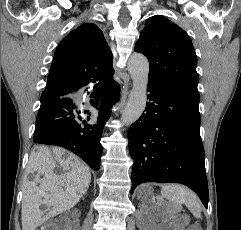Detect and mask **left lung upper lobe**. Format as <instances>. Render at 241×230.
<instances>
[{
    "label": "left lung upper lobe",
    "instance_id": "1",
    "mask_svg": "<svg viewBox=\"0 0 241 230\" xmlns=\"http://www.w3.org/2000/svg\"><path fill=\"white\" fill-rule=\"evenodd\" d=\"M134 51L148 58L149 81L199 96L196 53L190 37L179 26L161 15L148 18Z\"/></svg>",
    "mask_w": 241,
    "mask_h": 230
}]
</instances>
